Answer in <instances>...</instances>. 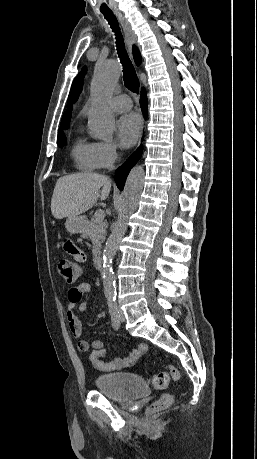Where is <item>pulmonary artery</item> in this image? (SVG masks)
<instances>
[{
    "instance_id": "obj_1",
    "label": "pulmonary artery",
    "mask_w": 257,
    "mask_h": 459,
    "mask_svg": "<svg viewBox=\"0 0 257 459\" xmlns=\"http://www.w3.org/2000/svg\"><path fill=\"white\" fill-rule=\"evenodd\" d=\"M110 106L117 112L127 111L132 107V102L127 95H117L110 100Z\"/></svg>"
}]
</instances>
